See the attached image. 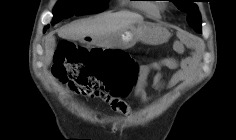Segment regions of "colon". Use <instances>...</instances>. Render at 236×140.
Listing matches in <instances>:
<instances>
[{
  "label": "colon",
  "mask_w": 236,
  "mask_h": 140,
  "mask_svg": "<svg viewBox=\"0 0 236 140\" xmlns=\"http://www.w3.org/2000/svg\"><path fill=\"white\" fill-rule=\"evenodd\" d=\"M140 68L124 51L86 48L70 41L59 44L53 75L73 91L98 96L108 103L121 100L133 88Z\"/></svg>",
  "instance_id": "colon-1"
}]
</instances>
